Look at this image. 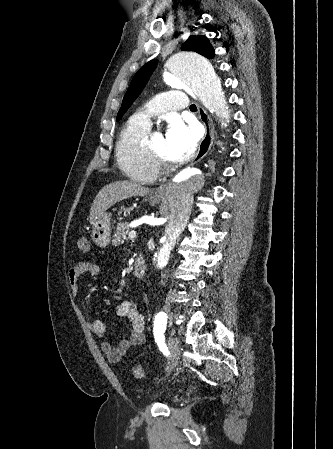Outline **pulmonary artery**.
I'll return each instance as SVG.
<instances>
[{
    "label": "pulmonary artery",
    "instance_id": "e3ab8cb5",
    "mask_svg": "<svg viewBox=\"0 0 333 449\" xmlns=\"http://www.w3.org/2000/svg\"><path fill=\"white\" fill-rule=\"evenodd\" d=\"M189 106L186 94L181 90H170L157 95L145 108L140 111L137 118L150 126L151 118L162 110H180Z\"/></svg>",
    "mask_w": 333,
    "mask_h": 449
}]
</instances>
